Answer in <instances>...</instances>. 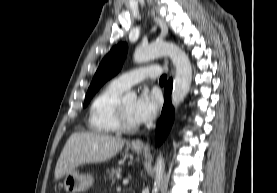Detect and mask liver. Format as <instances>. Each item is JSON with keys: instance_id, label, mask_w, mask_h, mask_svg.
<instances>
[{"instance_id": "obj_1", "label": "liver", "mask_w": 277, "mask_h": 193, "mask_svg": "<svg viewBox=\"0 0 277 193\" xmlns=\"http://www.w3.org/2000/svg\"><path fill=\"white\" fill-rule=\"evenodd\" d=\"M121 138L97 132H77L67 140L55 167V179L72 172L80 165L105 162L124 146Z\"/></svg>"}]
</instances>
